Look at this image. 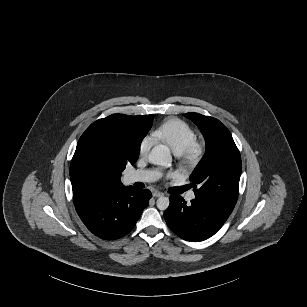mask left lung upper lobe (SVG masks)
Here are the masks:
<instances>
[{"label":"left lung upper lobe","mask_w":307,"mask_h":307,"mask_svg":"<svg viewBox=\"0 0 307 307\" xmlns=\"http://www.w3.org/2000/svg\"><path fill=\"white\" fill-rule=\"evenodd\" d=\"M201 130L206 152L190 181L199 184L195 199L231 214L238 198L241 157L229 130L217 119L198 113H186Z\"/></svg>","instance_id":"obj_1"}]
</instances>
